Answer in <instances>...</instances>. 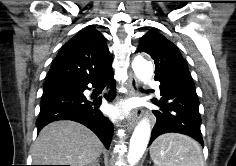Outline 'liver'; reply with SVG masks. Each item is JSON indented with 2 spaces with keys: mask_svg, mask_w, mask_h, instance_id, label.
Returning <instances> with one entry per match:
<instances>
[{
  "mask_svg": "<svg viewBox=\"0 0 236 166\" xmlns=\"http://www.w3.org/2000/svg\"><path fill=\"white\" fill-rule=\"evenodd\" d=\"M103 144L85 126L70 120L45 126L33 144L34 165L91 166L100 157Z\"/></svg>",
  "mask_w": 236,
  "mask_h": 166,
  "instance_id": "liver-1",
  "label": "liver"
}]
</instances>
